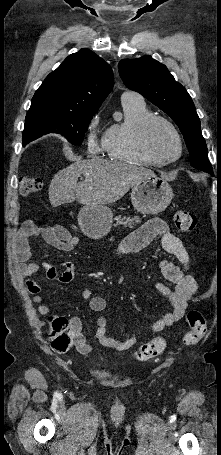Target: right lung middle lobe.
I'll use <instances>...</instances> for the list:
<instances>
[{"mask_svg":"<svg viewBox=\"0 0 221 455\" xmlns=\"http://www.w3.org/2000/svg\"><path fill=\"white\" fill-rule=\"evenodd\" d=\"M95 113L31 106L25 119L23 145L51 132L62 134L74 145H81Z\"/></svg>","mask_w":221,"mask_h":455,"instance_id":"right-lung-middle-lobe-1","label":"right lung middle lobe"}]
</instances>
